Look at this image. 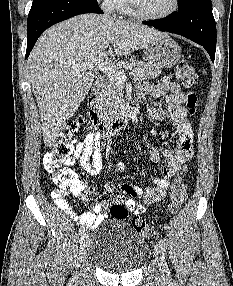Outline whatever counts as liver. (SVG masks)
<instances>
[{
	"label": "liver",
	"mask_w": 233,
	"mask_h": 286,
	"mask_svg": "<svg viewBox=\"0 0 233 286\" xmlns=\"http://www.w3.org/2000/svg\"><path fill=\"white\" fill-rule=\"evenodd\" d=\"M165 36L136 22L98 14L78 15L46 30L27 60L44 144L51 147L56 143L91 88L94 73L82 70V64L98 58L108 47L114 58Z\"/></svg>",
	"instance_id": "1"
}]
</instances>
